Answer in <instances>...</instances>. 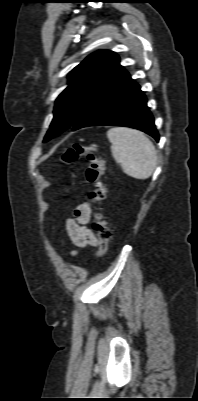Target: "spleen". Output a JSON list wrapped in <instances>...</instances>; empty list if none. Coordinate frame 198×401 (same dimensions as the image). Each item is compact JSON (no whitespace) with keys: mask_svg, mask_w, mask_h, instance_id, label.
<instances>
[{"mask_svg":"<svg viewBox=\"0 0 198 401\" xmlns=\"http://www.w3.org/2000/svg\"><path fill=\"white\" fill-rule=\"evenodd\" d=\"M111 152L123 172L139 180L149 178L157 165V152L144 133L124 127L108 130Z\"/></svg>","mask_w":198,"mask_h":401,"instance_id":"1","label":"spleen"}]
</instances>
